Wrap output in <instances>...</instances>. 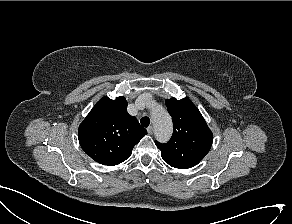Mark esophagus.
<instances>
[{
    "mask_svg": "<svg viewBox=\"0 0 292 224\" xmlns=\"http://www.w3.org/2000/svg\"><path fill=\"white\" fill-rule=\"evenodd\" d=\"M147 132H148L149 135H152L153 132H154L153 127H152V126H149V127L147 128Z\"/></svg>",
    "mask_w": 292,
    "mask_h": 224,
    "instance_id": "1",
    "label": "esophagus"
}]
</instances>
